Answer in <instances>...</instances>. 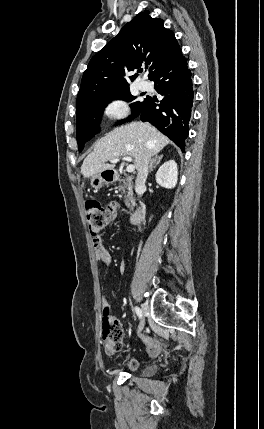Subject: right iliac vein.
<instances>
[{
    "label": "right iliac vein",
    "mask_w": 264,
    "mask_h": 429,
    "mask_svg": "<svg viewBox=\"0 0 264 429\" xmlns=\"http://www.w3.org/2000/svg\"><path fill=\"white\" fill-rule=\"evenodd\" d=\"M142 318L139 320V326H138V333H141L142 330L144 329V325H145V320H144V315L143 313L140 315Z\"/></svg>",
    "instance_id": "63e3f726"
}]
</instances>
